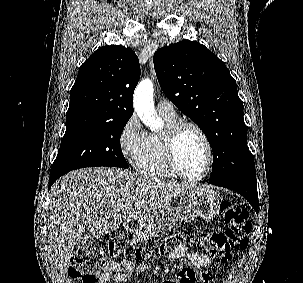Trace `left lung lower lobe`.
<instances>
[{"instance_id": "1", "label": "left lung lower lobe", "mask_w": 303, "mask_h": 283, "mask_svg": "<svg viewBox=\"0 0 303 283\" xmlns=\"http://www.w3.org/2000/svg\"><path fill=\"white\" fill-rule=\"evenodd\" d=\"M210 184L221 186L238 192L252 205L258 214V192L256 176H246L224 181H209Z\"/></svg>"}]
</instances>
